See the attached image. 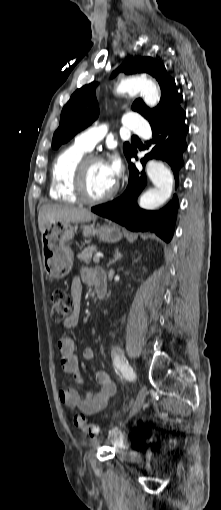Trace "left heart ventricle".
Masks as SVG:
<instances>
[{"label": "left heart ventricle", "mask_w": 221, "mask_h": 510, "mask_svg": "<svg viewBox=\"0 0 221 510\" xmlns=\"http://www.w3.org/2000/svg\"><path fill=\"white\" fill-rule=\"evenodd\" d=\"M116 182L110 176L106 162H92L88 167L86 189L92 198L101 197L113 189Z\"/></svg>", "instance_id": "1"}]
</instances>
